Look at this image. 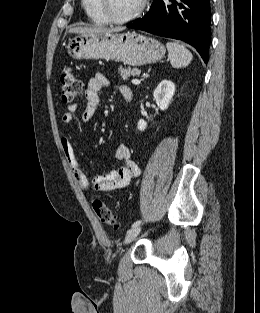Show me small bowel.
Returning a JSON list of instances; mask_svg holds the SVG:
<instances>
[{
	"label": "small bowel",
	"mask_w": 260,
	"mask_h": 313,
	"mask_svg": "<svg viewBox=\"0 0 260 313\" xmlns=\"http://www.w3.org/2000/svg\"><path fill=\"white\" fill-rule=\"evenodd\" d=\"M109 85L108 78L103 73H97L88 82L85 97L86 106L82 112L84 122L91 121L96 113L100 102V92ZM120 95L125 102L132 100V91L127 86L119 88ZM77 110L76 104H70L67 111L63 114L62 121L70 124L73 121L74 113ZM61 146L67 161L69 162L74 178L78 185L85 191L109 192L128 186L139 173V167L131 155V151L126 145H119L115 151V157L122 165L120 168L107 173H100L89 178L81 165L78 163L76 153L69 138H61Z\"/></svg>",
	"instance_id": "1"
}]
</instances>
